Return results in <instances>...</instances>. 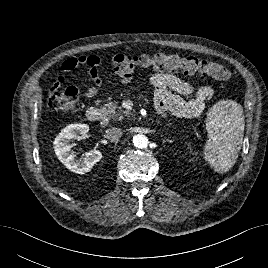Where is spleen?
Wrapping results in <instances>:
<instances>
[{
    "instance_id": "obj_1",
    "label": "spleen",
    "mask_w": 268,
    "mask_h": 268,
    "mask_svg": "<svg viewBox=\"0 0 268 268\" xmlns=\"http://www.w3.org/2000/svg\"><path fill=\"white\" fill-rule=\"evenodd\" d=\"M244 113L242 106L232 100H221L207 113L208 140L204 159L214 171L226 173L235 164L243 141Z\"/></svg>"
}]
</instances>
